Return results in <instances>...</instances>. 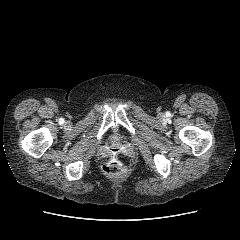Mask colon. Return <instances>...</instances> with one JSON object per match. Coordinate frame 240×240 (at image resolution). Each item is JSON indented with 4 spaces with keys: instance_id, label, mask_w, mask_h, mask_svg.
Listing matches in <instances>:
<instances>
[{
    "instance_id": "colon-1",
    "label": "colon",
    "mask_w": 240,
    "mask_h": 240,
    "mask_svg": "<svg viewBox=\"0 0 240 240\" xmlns=\"http://www.w3.org/2000/svg\"><path fill=\"white\" fill-rule=\"evenodd\" d=\"M102 169L106 175L116 176L125 171L126 164L118 152L113 150L111 156L103 164Z\"/></svg>"
}]
</instances>
